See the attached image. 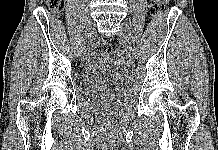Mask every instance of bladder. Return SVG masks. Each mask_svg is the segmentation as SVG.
<instances>
[{
  "instance_id": "1",
  "label": "bladder",
  "mask_w": 218,
  "mask_h": 150,
  "mask_svg": "<svg viewBox=\"0 0 218 150\" xmlns=\"http://www.w3.org/2000/svg\"><path fill=\"white\" fill-rule=\"evenodd\" d=\"M114 66L113 61L107 54L95 53L91 55L82 68L81 78L83 83L108 80L113 74Z\"/></svg>"
}]
</instances>
